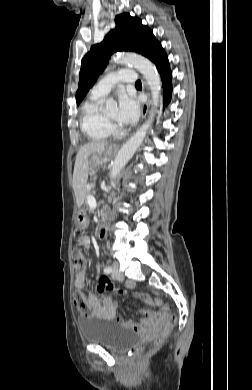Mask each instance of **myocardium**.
<instances>
[{
	"label": "myocardium",
	"mask_w": 252,
	"mask_h": 390,
	"mask_svg": "<svg viewBox=\"0 0 252 390\" xmlns=\"http://www.w3.org/2000/svg\"><path fill=\"white\" fill-rule=\"evenodd\" d=\"M104 118H105V120H106V122L111 130H117L119 128L114 120L110 119L106 115H104Z\"/></svg>",
	"instance_id": "1"
}]
</instances>
